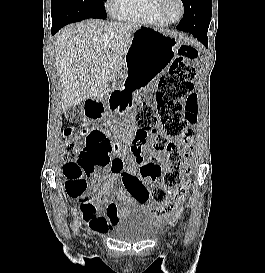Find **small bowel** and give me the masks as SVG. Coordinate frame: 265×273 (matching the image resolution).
<instances>
[{
    "label": "small bowel",
    "instance_id": "c3829d8e",
    "mask_svg": "<svg viewBox=\"0 0 265 273\" xmlns=\"http://www.w3.org/2000/svg\"><path fill=\"white\" fill-rule=\"evenodd\" d=\"M115 96H130V91H115ZM124 102H134V97H123V101L114 97L110 100L112 107L123 106ZM89 108L86 109V118L94 119V114H102V109L97 108V103H89ZM101 118V115H98ZM94 122H98V119H94ZM78 129H88V124H78ZM131 130H135L134 125L130 126ZM191 140V138L189 139ZM189 149V147H185ZM113 152L116 158L112 161L111 172L109 174V181L104 186L101 185V181L105 179V175L101 173H95L91 189L97 192L93 195L89 190L86 194L77 197H71L79 202V208L82 212L83 218L88 222L91 229L94 231L107 234L114 225L121 218L126 208L139 205L150 204V190L144 181H153L152 170L158 168L162 170L166 165L164 159L158 157H151L150 159L142 162H138L141 165H124L125 161L122 158L124 151L119 145L113 146ZM140 170V176L137 172ZM117 180L121 182V187L117 186ZM113 188H116V202H109V197L112 194ZM178 202L172 207H160L156 209V213L161 218H165L169 215L172 208H174ZM111 205L114 207L111 208Z\"/></svg>",
    "mask_w": 265,
    "mask_h": 273
}]
</instances>
